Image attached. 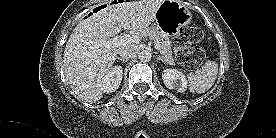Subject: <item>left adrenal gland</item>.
<instances>
[{"mask_svg":"<svg viewBox=\"0 0 276 138\" xmlns=\"http://www.w3.org/2000/svg\"><path fill=\"white\" fill-rule=\"evenodd\" d=\"M156 58H157V60H161L163 63H166V61L161 56L157 55Z\"/></svg>","mask_w":276,"mask_h":138,"instance_id":"1","label":"left adrenal gland"}]
</instances>
